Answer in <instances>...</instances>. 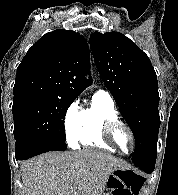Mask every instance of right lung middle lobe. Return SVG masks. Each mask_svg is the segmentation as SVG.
<instances>
[{"label":"right lung middle lobe","mask_w":178,"mask_h":195,"mask_svg":"<svg viewBox=\"0 0 178 195\" xmlns=\"http://www.w3.org/2000/svg\"><path fill=\"white\" fill-rule=\"evenodd\" d=\"M74 100L38 93L14 96L12 113L16 142H65L64 119Z\"/></svg>","instance_id":"1"}]
</instances>
